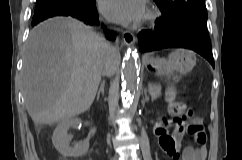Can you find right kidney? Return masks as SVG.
Segmentation results:
<instances>
[{"label":"right kidney","instance_id":"1","mask_svg":"<svg viewBox=\"0 0 242 160\" xmlns=\"http://www.w3.org/2000/svg\"><path fill=\"white\" fill-rule=\"evenodd\" d=\"M81 123L79 118H70L61 121L53 132L52 142L56 150L64 157H80L87 153L89 141L84 140L78 145L70 146L72 136L67 134L69 128L77 127Z\"/></svg>","mask_w":242,"mask_h":160}]
</instances>
